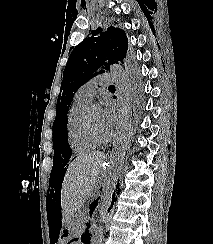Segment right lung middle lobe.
Masks as SVG:
<instances>
[{
  "mask_svg": "<svg viewBox=\"0 0 213 244\" xmlns=\"http://www.w3.org/2000/svg\"><path fill=\"white\" fill-rule=\"evenodd\" d=\"M53 146H54V159H53V168H52V171H51V175L56 172L60 167H62V161L63 159L61 158V156H57L56 155V149H57V142L56 140L53 138ZM66 146V145H65ZM67 148H69V145L67 146ZM63 150L65 151V148L63 147L62 150H61V153L63 154L64 156V152ZM67 151V150H66ZM70 158V157H69ZM68 158V159H69ZM64 161H65V156H64ZM65 165V164H64Z\"/></svg>",
  "mask_w": 213,
  "mask_h": 244,
  "instance_id": "dd1d6c3e",
  "label": "right lung middle lobe"
}]
</instances>
